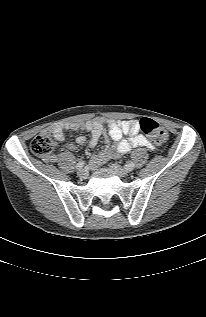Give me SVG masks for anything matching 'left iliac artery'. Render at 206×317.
<instances>
[{
    "instance_id": "obj_1",
    "label": "left iliac artery",
    "mask_w": 206,
    "mask_h": 317,
    "mask_svg": "<svg viewBox=\"0 0 206 317\" xmlns=\"http://www.w3.org/2000/svg\"><path fill=\"white\" fill-rule=\"evenodd\" d=\"M135 167V164L133 162H129L127 165H125V168L129 171L133 170Z\"/></svg>"
}]
</instances>
